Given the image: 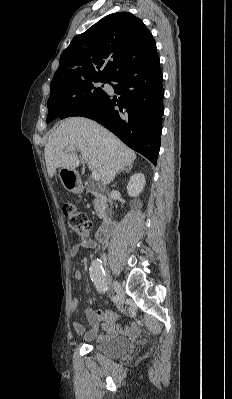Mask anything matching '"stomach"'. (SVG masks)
I'll list each match as a JSON object with an SVG mask.
<instances>
[{"label": "stomach", "instance_id": "0dacf381", "mask_svg": "<svg viewBox=\"0 0 232 399\" xmlns=\"http://www.w3.org/2000/svg\"><path fill=\"white\" fill-rule=\"evenodd\" d=\"M58 176L63 184L64 188L68 192H81L82 184L80 182L79 174L76 170H66V168H60Z\"/></svg>", "mask_w": 232, "mask_h": 399}]
</instances>
